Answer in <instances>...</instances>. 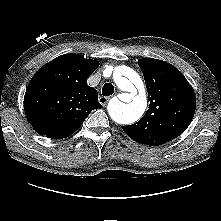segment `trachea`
<instances>
[{
  "label": "trachea",
  "mask_w": 221,
  "mask_h": 221,
  "mask_svg": "<svg viewBox=\"0 0 221 221\" xmlns=\"http://www.w3.org/2000/svg\"><path fill=\"white\" fill-rule=\"evenodd\" d=\"M114 93V86L111 83H106L102 88V94L104 96H109Z\"/></svg>",
  "instance_id": "obj_1"
}]
</instances>
